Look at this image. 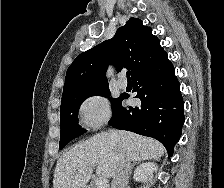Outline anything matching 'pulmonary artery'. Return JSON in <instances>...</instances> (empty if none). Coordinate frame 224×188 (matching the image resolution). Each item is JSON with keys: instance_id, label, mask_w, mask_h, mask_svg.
I'll return each instance as SVG.
<instances>
[{"instance_id": "1", "label": "pulmonary artery", "mask_w": 224, "mask_h": 188, "mask_svg": "<svg viewBox=\"0 0 224 188\" xmlns=\"http://www.w3.org/2000/svg\"><path fill=\"white\" fill-rule=\"evenodd\" d=\"M117 84L121 89H125L127 87V80L123 74L118 77Z\"/></svg>"}]
</instances>
